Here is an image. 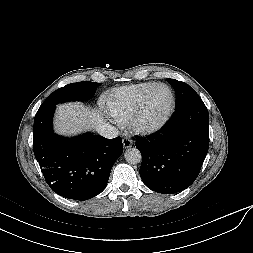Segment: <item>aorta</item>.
Returning a JSON list of instances; mask_svg holds the SVG:
<instances>
[{
  "label": "aorta",
  "instance_id": "762f6f07",
  "mask_svg": "<svg viewBox=\"0 0 253 253\" xmlns=\"http://www.w3.org/2000/svg\"><path fill=\"white\" fill-rule=\"evenodd\" d=\"M124 158L129 164H138L142 160L141 152L137 148H129L124 153Z\"/></svg>",
  "mask_w": 253,
  "mask_h": 253
}]
</instances>
